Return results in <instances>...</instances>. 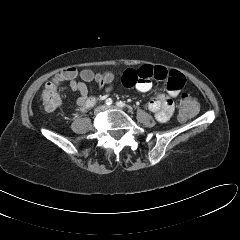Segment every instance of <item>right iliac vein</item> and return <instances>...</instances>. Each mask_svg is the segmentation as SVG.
<instances>
[{
  "instance_id": "63e3f726",
  "label": "right iliac vein",
  "mask_w": 240,
  "mask_h": 240,
  "mask_svg": "<svg viewBox=\"0 0 240 240\" xmlns=\"http://www.w3.org/2000/svg\"><path fill=\"white\" fill-rule=\"evenodd\" d=\"M102 110H104V106L97 107L94 111V114L97 115L99 114Z\"/></svg>"
}]
</instances>
